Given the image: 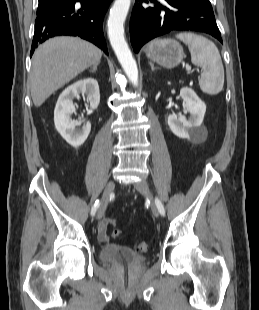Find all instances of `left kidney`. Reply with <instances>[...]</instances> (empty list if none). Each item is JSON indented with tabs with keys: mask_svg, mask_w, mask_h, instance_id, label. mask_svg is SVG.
I'll use <instances>...</instances> for the list:
<instances>
[{
	"mask_svg": "<svg viewBox=\"0 0 259 310\" xmlns=\"http://www.w3.org/2000/svg\"><path fill=\"white\" fill-rule=\"evenodd\" d=\"M180 95L186 107V112L190 113V117L186 119L184 115L177 116L174 113L170 114L168 116V125L177 137L192 139L198 136V129L203 122L206 105L189 87L182 88Z\"/></svg>",
	"mask_w": 259,
	"mask_h": 310,
	"instance_id": "1",
	"label": "left kidney"
}]
</instances>
